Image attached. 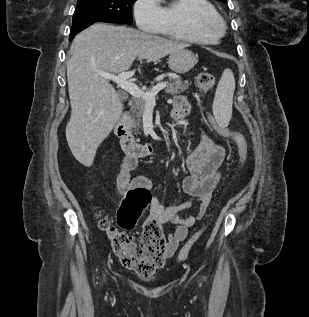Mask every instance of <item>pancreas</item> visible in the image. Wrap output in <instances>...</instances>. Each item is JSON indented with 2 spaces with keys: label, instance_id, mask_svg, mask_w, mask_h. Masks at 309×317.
Returning <instances> with one entry per match:
<instances>
[{
  "label": "pancreas",
  "instance_id": "1",
  "mask_svg": "<svg viewBox=\"0 0 309 317\" xmlns=\"http://www.w3.org/2000/svg\"><path fill=\"white\" fill-rule=\"evenodd\" d=\"M167 87L165 89V93L170 95L180 94L188 89L190 83L188 81L183 82L180 76H174L170 79V81L166 82ZM154 87V82L151 83V86L147 89V91H151ZM146 106V102L143 99H136L134 104L131 107L132 112V126L135 129V134H140L139 129L142 126V115Z\"/></svg>",
  "mask_w": 309,
  "mask_h": 317
}]
</instances>
